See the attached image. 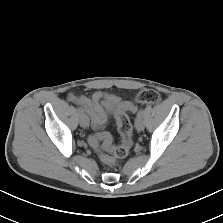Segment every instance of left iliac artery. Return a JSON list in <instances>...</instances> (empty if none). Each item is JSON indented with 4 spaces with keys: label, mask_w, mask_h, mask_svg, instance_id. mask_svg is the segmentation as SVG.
Instances as JSON below:
<instances>
[{
    "label": "left iliac artery",
    "mask_w": 223,
    "mask_h": 223,
    "mask_svg": "<svg viewBox=\"0 0 223 223\" xmlns=\"http://www.w3.org/2000/svg\"><path fill=\"white\" fill-rule=\"evenodd\" d=\"M143 116V110H139L137 113V117H142Z\"/></svg>",
    "instance_id": "44dca946"
}]
</instances>
